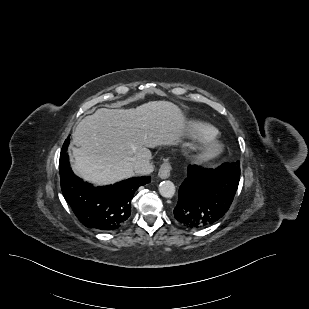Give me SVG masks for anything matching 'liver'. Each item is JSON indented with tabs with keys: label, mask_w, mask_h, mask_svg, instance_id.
I'll use <instances>...</instances> for the list:
<instances>
[{
	"label": "liver",
	"mask_w": 309,
	"mask_h": 309,
	"mask_svg": "<svg viewBox=\"0 0 309 309\" xmlns=\"http://www.w3.org/2000/svg\"><path fill=\"white\" fill-rule=\"evenodd\" d=\"M185 121L179 107L168 101H152L135 109L100 108L82 119L72 135V168L97 185L132 177V158L143 164L136 173L149 174L153 166L148 148L177 144Z\"/></svg>",
	"instance_id": "liver-1"
}]
</instances>
